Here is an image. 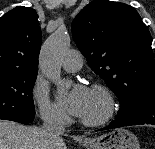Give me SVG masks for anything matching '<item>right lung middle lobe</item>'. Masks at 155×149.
I'll use <instances>...</instances> for the list:
<instances>
[{"label":"right lung middle lobe","mask_w":155,"mask_h":149,"mask_svg":"<svg viewBox=\"0 0 155 149\" xmlns=\"http://www.w3.org/2000/svg\"><path fill=\"white\" fill-rule=\"evenodd\" d=\"M36 77L37 71L0 72V119L24 123L34 117Z\"/></svg>","instance_id":"1"}]
</instances>
